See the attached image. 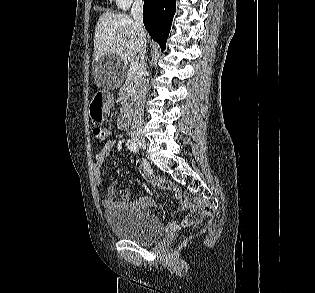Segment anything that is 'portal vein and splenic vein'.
<instances>
[{"instance_id": "18ae733b", "label": "portal vein and splenic vein", "mask_w": 315, "mask_h": 293, "mask_svg": "<svg viewBox=\"0 0 315 293\" xmlns=\"http://www.w3.org/2000/svg\"><path fill=\"white\" fill-rule=\"evenodd\" d=\"M138 70V63L137 62H131L130 64V73H135Z\"/></svg>"}]
</instances>
